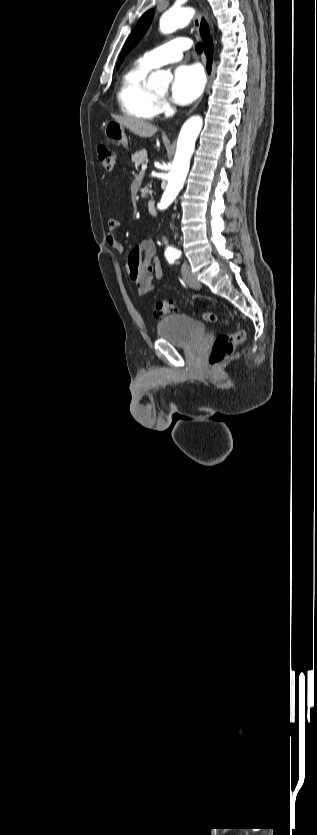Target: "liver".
<instances>
[{"mask_svg":"<svg viewBox=\"0 0 317 835\" xmlns=\"http://www.w3.org/2000/svg\"><path fill=\"white\" fill-rule=\"evenodd\" d=\"M115 121L127 127L135 135L142 138H149L157 132V127L140 119L128 117H115Z\"/></svg>","mask_w":317,"mask_h":835,"instance_id":"liver-1","label":"liver"}]
</instances>
